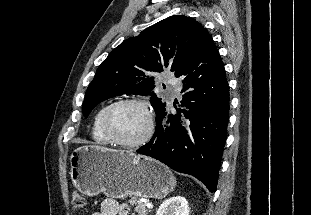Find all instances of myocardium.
Instances as JSON below:
<instances>
[{
    "instance_id": "obj_1",
    "label": "myocardium",
    "mask_w": 311,
    "mask_h": 215,
    "mask_svg": "<svg viewBox=\"0 0 311 215\" xmlns=\"http://www.w3.org/2000/svg\"><path fill=\"white\" fill-rule=\"evenodd\" d=\"M123 105L140 106L145 110V112L147 114V118H148L147 130H146L145 134L140 139L133 141V142L124 141V140H121L120 138H118L114 134V132L112 131L111 126H110V119H111L113 112L118 107L123 106ZM101 127H102L103 133L106 135V137L110 140L111 143L118 145V146H121V147H124V148H132V149L138 148V147H141L144 144H146L153 135V132H154L153 111L150 108L149 104L141 98L132 97V98L120 99L118 101L111 103L105 109L103 116H102V120H101Z\"/></svg>"
}]
</instances>
